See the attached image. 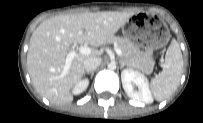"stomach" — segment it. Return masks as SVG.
Here are the masks:
<instances>
[{"instance_id": "stomach-1", "label": "stomach", "mask_w": 203, "mask_h": 123, "mask_svg": "<svg viewBox=\"0 0 203 123\" xmlns=\"http://www.w3.org/2000/svg\"><path fill=\"white\" fill-rule=\"evenodd\" d=\"M123 34L135 45H146L148 51L165 46L170 39L166 25L153 15L144 16L142 20L137 19L123 26Z\"/></svg>"}]
</instances>
